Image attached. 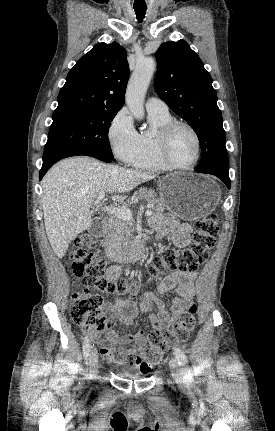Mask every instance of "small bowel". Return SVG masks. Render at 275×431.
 <instances>
[{
	"label": "small bowel",
	"instance_id": "c3829d8e",
	"mask_svg": "<svg viewBox=\"0 0 275 431\" xmlns=\"http://www.w3.org/2000/svg\"><path fill=\"white\" fill-rule=\"evenodd\" d=\"M152 227L156 230L158 239L171 235L174 246L179 249L189 245L193 233L190 224H179L177 219L171 216L154 219ZM120 275L121 268L117 265L111 266L107 271V278L111 281H116ZM197 276V272H174L160 281L159 296L147 293L139 304L120 297H115L112 302L107 303L105 312L108 313V319L105 329L89 336L92 341L99 344L104 359L109 363L137 366L133 357L143 354L147 331L142 329L136 334L120 336L114 329L115 324L119 322L132 325L140 313H146L152 329L169 328L178 322L182 314L192 305V299L196 293L194 283ZM170 291L175 292L176 296L172 297L167 304L162 296ZM154 307L158 308L157 314L152 313Z\"/></svg>",
	"mask_w": 275,
	"mask_h": 431
}]
</instances>
